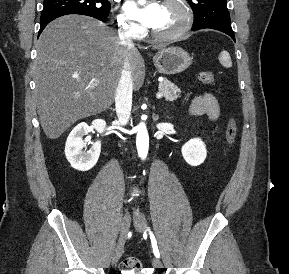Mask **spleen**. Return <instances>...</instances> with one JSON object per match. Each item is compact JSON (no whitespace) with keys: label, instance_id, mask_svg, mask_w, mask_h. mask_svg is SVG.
Listing matches in <instances>:
<instances>
[{"label":"spleen","instance_id":"3e777b00","mask_svg":"<svg viewBox=\"0 0 289 274\" xmlns=\"http://www.w3.org/2000/svg\"><path fill=\"white\" fill-rule=\"evenodd\" d=\"M219 60H220L221 64L226 68H230L232 66L231 57H230L229 53L226 51H223L220 54Z\"/></svg>","mask_w":289,"mask_h":274}]
</instances>
